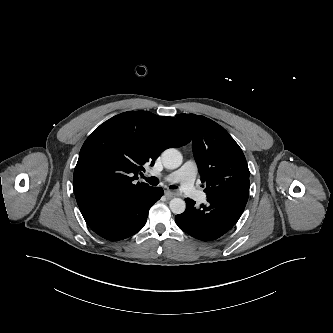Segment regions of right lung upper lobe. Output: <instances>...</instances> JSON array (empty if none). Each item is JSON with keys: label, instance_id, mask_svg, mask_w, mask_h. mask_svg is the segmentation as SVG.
<instances>
[{"label": "right lung upper lobe", "instance_id": "cb5924a9", "mask_svg": "<svg viewBox=\"0 0 333 333\" xmlns=\"http://www.w3.org/2000/svg\"><path fill=\"white\" fill-rule=\"evenodd\" d=\"M191 140L188 129L173 117L128 111L101 124L84 142L74 169L77 204L100 199L125 200L150 189L136 183L144 165L169 147ZM141 174V173H140Z\"/></svg>", "mask_w": 333, "mask_h": 333}]
</instances>
